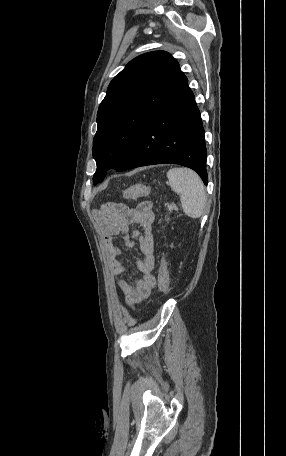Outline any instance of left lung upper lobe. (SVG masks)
<instances>
[{"label":"left lung upper lobe","instance_id":"1","mask_svg":"<svg viewBox=\"0 0 286 456\" xmlns=\"http://www.w3.org/2000/svg\"><path fill=\"white\" fill-rule=\"evenodd\" d=\"M185 80L176 59L165 51L134 58L114 77L97 113L94 185L109 169H119L139 134Z\"/></svg>","mask_w":286,"mask_h":456}]
</instances>
